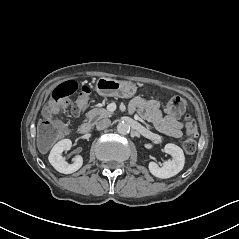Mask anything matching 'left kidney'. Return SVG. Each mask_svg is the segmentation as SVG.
I'll return each mask as SVG.
<instances>
[{"label": "left kidney", "mask_w": 239, "mask_h": 239, "mask_svg": "<svg viewBox=\"0 0 239 239\" xmlns=\"http://www.w3.org/2000/svg\"><path fill=\"white\" fill-rule=\"evenodd\" d=\"M164 151L172 156V160L165 161L162 167H159L155 162L149 163L150 172L154 176L162 179L170 178L178 174L183 169L185 163L183 150L179 146L168 143L165 145Z\"/></svg>", "instance_id": "1"}]
</instances>
